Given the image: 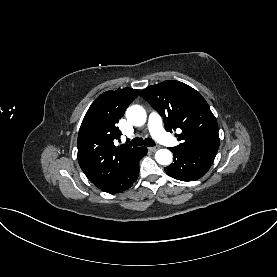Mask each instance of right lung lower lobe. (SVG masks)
I'll return each instance as SVG.
<instances>
[{
	"instance_id": "1",
	"label": "right lung lower lobe",
	"mask_w": 277,
	"mask_h": 277,
	"mask_svg": "<svg viewBox=\"0 0 277 277\" xmlns=\"http://www.w3.org/2000/svg\"><path fill=\"white\" fill-rule=\"evenodd\" d=\"M146 154L147 149L145 147L138 148L136 154L121 170V172L113 180L100 189L111 194L119 193L129 189L138 178L139 161Z\"/></svg>"
}]
</instances>
